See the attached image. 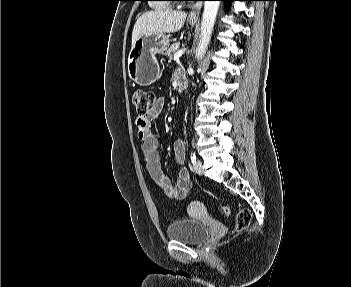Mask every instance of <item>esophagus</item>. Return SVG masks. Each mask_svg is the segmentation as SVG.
Segmentation results:
<instances>
[{
    "label": "esophagus",
    "instance_id": "esophagus-1",
    "mask_svg": "<svg viewBox=\"0 0 351 287\" xmlns=\"http://www.w3.org/2000/svg\"><path fill=\"white\" fill-rule=\"evenodd\" d=\"M202 6V1L197 0L195 1L193 8L189 14V19H197L199 17V11Z\"/></svg>",
    "mask_w": 351,
    "mask_h": 287
}]
</instances>
